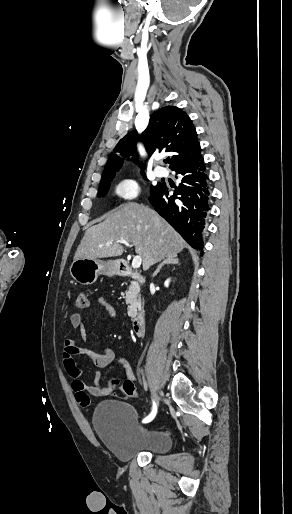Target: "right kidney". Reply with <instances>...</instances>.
Segmentation results:
<instances>
[{
    "instance_id": "ca27d5eb",
    "label": "right kidney",
    "mask_w": 292,
    "mask_h": 514,
    "mask_svg": "<svg viewBox=\"0 0 292 514\" xmlns=\"http://www.w3.org/2000/svg\"><path fill=\"white\" fill-rule=\"evenodd\" d=\"M169 282H170V280H166V282H164V286H166V288H168Z\"/></svg>"
}]
</instances>
